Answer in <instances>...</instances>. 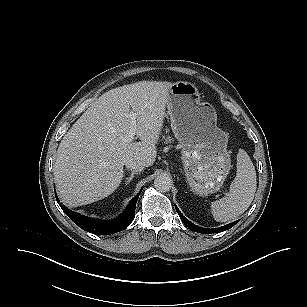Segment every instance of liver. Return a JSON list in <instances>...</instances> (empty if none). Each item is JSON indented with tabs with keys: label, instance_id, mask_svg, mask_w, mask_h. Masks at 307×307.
<instances>
[{
	"label": "liver",
	"instance_id": "liver-1",
	"mask_svg": "<svg viewBox=\"0 0 307 307\" xmlns=\"http://www.w3.org/2000/svg\"><path fill=\"white\" fill-rule=\"evenodd\" d=\"M172 84L140 81L111 89L73 124L59 144L53 166L63 204L77 207L112 194L128 159L139 160L145 167L155 162ZM130 112L137 114L140 141L126 144Z\"/></svg>",
	"mask_w": 307,
	"mask_h": 307
}]
</instances>
